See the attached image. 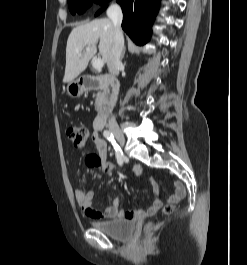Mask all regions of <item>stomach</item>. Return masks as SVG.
<instances>
[{
	"instance_id": "1",
	"label": "stomach",
	"mask_w": 247,
	"mask_h": 265,
	"mask_svg": "<svg viewBox=\"0 0 247 265\" xmlns=\"http://www.w3.org/2000/svg\"><path fill=\"white\" fill-rule=\"evenodd\" d=\"M85 90L86 86L80 79L69 82L67 86V93L73 98L80 97Z\"/></svg>"
}]
</instances>
